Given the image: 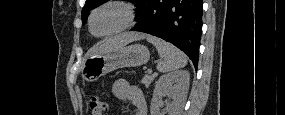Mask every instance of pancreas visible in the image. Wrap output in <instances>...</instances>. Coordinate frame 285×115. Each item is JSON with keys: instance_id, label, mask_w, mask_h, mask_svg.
Masks as SVG:
<instances>
[{"instance_id": "obj_1", "label": "pancreas", "mask_w": 285, "mask_h": 115, "mask_svg": "<svg viewBox=\"0 0 285 115\" xmlns=\"http://www.w3.org/2000/svg\"><path fill=\"white\" fill-rule=\"evenodd\" d=\"M157 76V74L148 75L146 74L143 79L141 80V83L144 84L146 87H149L151 82L154 80V78Z\"/></svg>"}]
</instances>
